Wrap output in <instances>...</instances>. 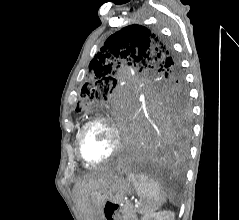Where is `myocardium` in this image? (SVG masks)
Here are the masks:
<instances>
[{
  "label": "myocardium",
  "instance_id": "myocardium-1",
  "mask_svg": "<svg viewBox=\"0 0 239 220\" xmlns=\"http://www.w3.org/2000/svg\"><path fill=\"white\" fill-rule=\"evenodd\" d=\"M97 124L107 125L113 132L115 142H114V147H113L112 152L106 158L99 160V161H90L83 154L82 144H83V139H84L86 132L92 126L97 125ZM121 144H122L121 134H120V131H119L117 125L111 118L104 117V116L95 117V118L91 119L90 121H88L87 123H85L83 125V127L81 128V130L79 131L78 136H77L78 156L81 159V161L88 166H98V165H102V164L109 162L117 155V153L119 152V150L121 148Z\"/></svg>",
  "mask_w": 239,
  "mask_h": 220
}]
</instances>
